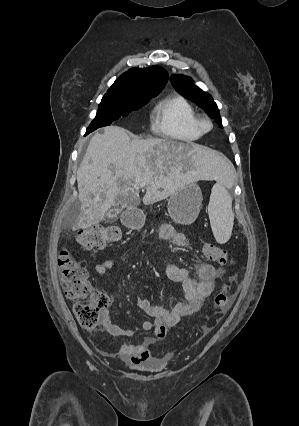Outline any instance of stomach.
I'll return each instance as SVG.
<instances>
[{"instance_id": "stomach-1", "label": "stomach", "mask_w": 299, "mask_h": 426, "mask_svg": "<svg viewBox=\"0 0 299 426\" xmlns=\"http://www.w3.org/2000/svg\"><path fill=\"white\" fill-rule=\"evenodd\" d=\"M202 191L195 183H189L176 190L168 200V212L175 223H193L202 206Z\"/></svg>"}]
</instances>
